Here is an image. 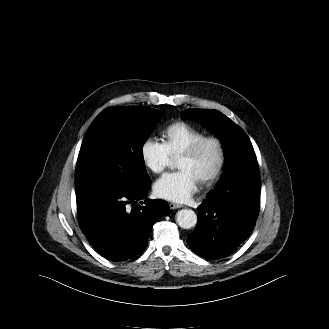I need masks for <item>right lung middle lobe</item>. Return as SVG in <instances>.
<instances>
[{"mask_svg": "<svg viewBox=\"0 0 329 329\" xmlns=\"http://www.w3.org/2000/svg\"><path fill=\"white\" fill-rule=\"evenodd\" d=\"M160 112L149 107L120 106L102 111L91 123L81 145L75 191L113 185L138 191L151 182L142 147Z\"/></svg>", "mask_w": 329, "mask_h": 329, "instance_id": "right-lung-middle-lobe-1", "label": "right lung middle lobe"}]
</instances>
